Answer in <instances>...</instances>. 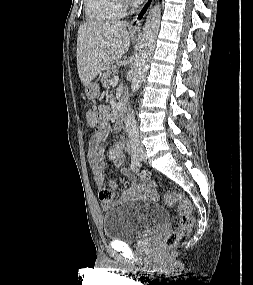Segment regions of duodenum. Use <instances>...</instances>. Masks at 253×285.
<instances>
[{"label":"duodenum","mask_w":253,"mask_h":285,"mask_svg":"<svg viewBox=\"0 0 253 285\" xmlns=\"http://www.w3.org/2000/svg\"><path fill=\"white\" fill-rule=\"evenodd\" d=\"M127 111V105L125 101L119 103L117 107V114L115 117V128L121 129L123 127L125 116Z\"/></svg>","instance_id":"duodenum-1"}]
</instances>
